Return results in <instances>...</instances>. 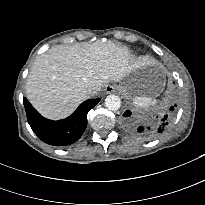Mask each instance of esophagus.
Returning <instances> with one entry per match:
<instances>
[{
  "instance_id": "obj_1",
  "label": "esophagus",
  "mask_w": 205,
  "mask_h": 205,
  "mask_svg": "<svg viewBox=\"0 0 205 205\" xmlns=\"http://www.w3.org/2000/svg\"><path fill=\"white\" fill-rule=\"evenodd\" d=\"M115 91V86L113 84H107L105 86V92L106 93H112Z\"/></svg>"
}]
</instances>
